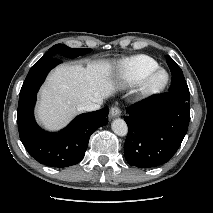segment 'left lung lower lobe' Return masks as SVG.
I'll use <instances>...</instances> for the list:
<instances>
[{
	"label": "left lung lower lobe",
	"mask_w": 213,
	"mask_h": 213,
	"mask_svg": "<svg viewBox=\"0 0 213 213\" xmlns=\"http://www.w3.org/2000/svg\"><path fill=\"white\" fill-rule=\"evenodd\" d=\"M124 144L130 165L151 168L168 162L180 147L190 120L189 96L167 92L127 108Z\"/></svg>",
	"instance_id": "obj_1"
}]
</instances>
